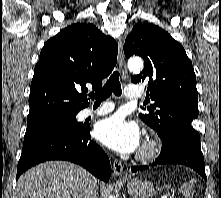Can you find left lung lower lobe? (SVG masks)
<instances>
[{
	"label": "left lung lower lobe",
	"instance_id": "0a47b994",
	"mask_svg": "<svg viewBox=\"0 0 221 198\" xmlns=\"http://www.w3.org/2000/svg\"><path fill=\"white\" fill-rule=\"evenodd\" d=\"M162 149L155 164H180L191 167L205 180L204 158L201 152L200 139L189 136H171L162 139ZM149 166H133L131 172L147 169Z\"/></svg>",
	"mask_w": 221,
	"mask_h": 198
}]
</instances>
